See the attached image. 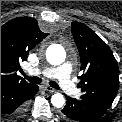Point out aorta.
Segmentation results:
<instances>
[{"instance_id": "1", "label": "aorta", "mask_w": 122, "mask_h": 122, "mask_svg": "<svg viewBox=\"0 0 122 122\" xmlns=\"http://www.w3.org/2000/svg\"><path fill=\"white\" fill-rule=\"evenodd\" d=\"M47 61L52 65H60L65 61L66 53L62 46L52 45L46 52ZM51 103L53 106L60 108L65 103V98L60 93H55L51 97Z\"/></svg>"}]
</instances>
